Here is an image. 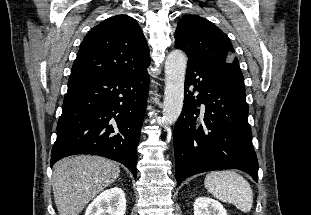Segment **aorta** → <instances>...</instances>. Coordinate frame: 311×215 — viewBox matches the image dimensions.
I'll return each mask as SVG.
<instances>
[{"mask_svg": "<svg viewBox=\"0 0 311 215\" xmlns=\"http://www.w3.org/2000/svg\"><path fill=\"white\" fill-rule=\"evenodd\" d=\"M186 66L187 56L183 51L176 49L168 54L163 103V121L167 125L177 121L183 108Z\"/></svg>", "mask_w": 311, "mask_h": 215, "instance_id": "1", "label": "aorta"}]
</instances>
